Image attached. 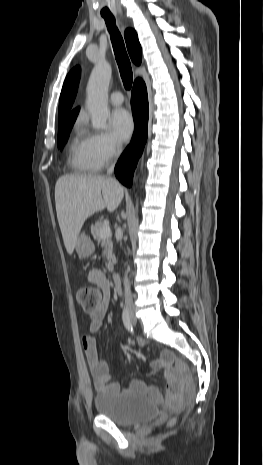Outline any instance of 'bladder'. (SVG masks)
Wrapping results in <instances>:
<instances>
[{"mask_svg":"<svg viewBox=\"0 0 263 465\" xmlns=\"http://www.w3.org/2000/svg\"><path fill=\"white\" fill-rule=\"evenodd\" d=\"M96 411L120 426L147 422L157 416L155 403L140 393L105 390L94 398Z\"/></svg>","mask_w":263,"mask_h":465,"instance_id":"bladder-1","label":"bladder"}]
</instances>
